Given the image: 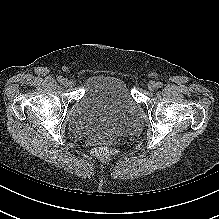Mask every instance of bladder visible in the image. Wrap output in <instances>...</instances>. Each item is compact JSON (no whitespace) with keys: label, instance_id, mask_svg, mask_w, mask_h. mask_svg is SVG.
Wrapping results in <instances>:
<instances>
[{"label":"bladder","instance_id":"31cf9c89","mask_svg":"<svg viewBox=\"0 0 219 219\" xmlns=\"http://www.w3.org/2000/svg\"><path fill=\"white\" fill-rule=\"evenodd\" d=\"M142 115V107L122 78L98 74L86 84L68 117L67 126L75 138L105 142L139 129Z\"/></svg>","mask_w":219,"mask_h":219}]
</instances>
